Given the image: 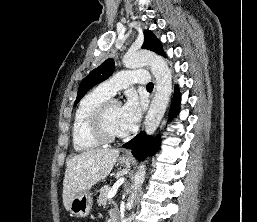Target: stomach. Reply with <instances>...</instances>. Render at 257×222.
Here are the masks:
<instances>
[{
	"instance_id": "obj_1",
	"label": "stomach",
	"mask_w": 257,
	"mask_h": 222,
	"mask_svg": "<svg viewBox=\"0 0 257 222\" xmlns=\"http://www.w3.org/2000/svg\"><path fill=\"white\" fill-rule=\"evenodd\" d=\"M118 163L126 168H129L131 165V160L122 156L118 159ZM92 202L93 200L90 192L88 190L81 191L77 193L71 200L69 211L76 217H86L90 213Z\"/></svg>"
}]
</instances>
